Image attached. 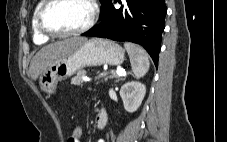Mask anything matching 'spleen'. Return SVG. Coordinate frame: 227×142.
<instances>
[{"label":"spleen","mask_w":227,"mask_h":142,"mask_svg":"<svg viewBox=\"0 0 227 142\" xmlns=\"http://www.w3.org/2000/svg\"><path fill=\"white\" fill-rule=\"evenodd\" d=\"M129 55L132 71L136 78L143 77L149 70L150 62L147 52L133 43H124Z\"/></svg>","instance_id":"1"}]
</instances>
